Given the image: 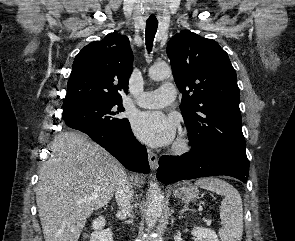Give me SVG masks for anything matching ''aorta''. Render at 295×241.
I'll use <instances>...</instances> for the list:
<instances>
[{"mask_svg": "<svg viewBox=\"0 0 295 241\" xmlns=\"http://www.w3.org/2000/svg\"><path fill=\"white\" fill-rule=\"evenodd\" d=\"M148 75L154 81L164 80L171 75V68L166 63L155 64L150 67ZM163 206V193L160 190L157 181L154 180V182L150 184L146 210V222L149 228L154 227L157 223L162 214Z\"/></svg>", "mask_w": 295, "mask_h": 241, "instance_id": "762f6f07", "label": "aorta"}]
</instances>
